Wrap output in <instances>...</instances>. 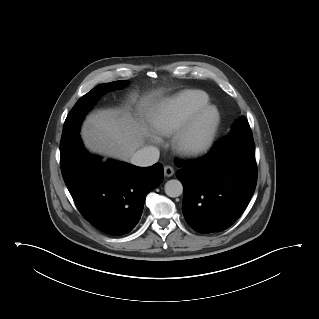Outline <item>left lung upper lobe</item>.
Wrapping results in <instances>:
<instances>
[{"label": "left lung upper lobe", "mask_w": 319, "mask_h": 319, "mask_svg": "<svg viewBox=\"0 0 319 319\" xmlns=\"http://www.w3.org/2000/svg\"><path fill=\"white\" fill-rule=\"evenodd\" d=\"M228 137H240L253 140L249 123L244 116L236 120Z\"/></svg>", "instance_id": "1"}]
</instances>
